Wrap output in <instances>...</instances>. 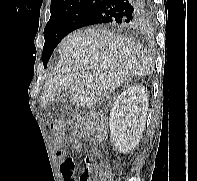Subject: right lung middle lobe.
Instances as JSON below:
<instances>
[{"label":"right lung middle lobe","instance_id":"obj_1","mask_svg":"<svg viewBox=\"0 0 197 181\" xmlns=\"http://www.w3.org/2000/svg\"><path fill=\"white\" fill-rule=\"evenodd\" d=\"M98 4H84L67 10L51 13L44 29L45 43L42 52L44 68L58 43L70 32L74 31L79 22Z\"/></svg>","mask_w":197,"mask_h":181}]
</instances>
